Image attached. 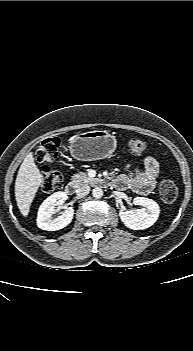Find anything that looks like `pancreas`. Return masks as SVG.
Returning a JSON list of instances; mask_svg holds the SVG:
<instances>
[{
    "mask_svg": "<svg viewBox=\"0 0 193 351\" xmlns=\"http://www.w3.org/2000/svg\"><path fill=\"white\" fill-rule=\"evenodd\" d=\"M96 182L95 178H90L86 173L84 172H78L77 174H74L72 176V183L74 185H80L82 183H87V184H94Z\"/></svg>",
    "mask_w": 193,
    "mask_h": 351,
    "instance_id": "1",
    "label": "pancreas"
}]
</instances>
